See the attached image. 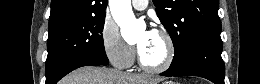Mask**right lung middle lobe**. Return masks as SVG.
Instances as JSON below:
<instances>
[{
	"mask_svg": "<svg viewBox=\"0 0 260 84\" xmlns=\"http://www.w3.org/2000/svg\"><path fill=\"white\" fill-rule=\"evenodd\" d=\"M105 14L49 29L46 83L53 84L69 67L85 61L108 65L103 43Z\"/></svg>",
	"mask_w": 260,
	"mask_h": 84,
	"instance_id": "obj_1",
	"label": "right lung middle lobe"
}]
</instances>
